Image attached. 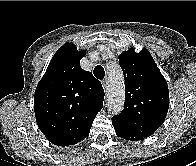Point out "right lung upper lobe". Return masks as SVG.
I'll return each instance as SVG.
<instances>
[{
    "instance_id": "right-lung-upper-lobe-1",
    "label": "right lung upper lobe",
    "mask_w": 196,
    "mask_h": 166,
    "mask_svg": "<svg viewBox=\"0 0 196 166\" xmlns=\"http://www.w3.org/2000/svg\"><path fill=\"white\" fill-rule=\"evenodd\" d=\"M84 54L72 43L63 45L35 90L37 125L57 146L73 145L86 138L103 107L101 83L79 65Z\"/></svg>"
}]
</instances>
